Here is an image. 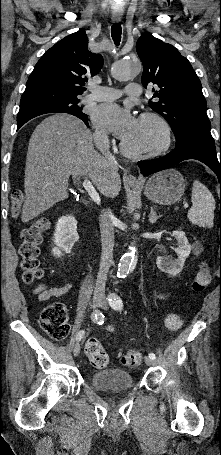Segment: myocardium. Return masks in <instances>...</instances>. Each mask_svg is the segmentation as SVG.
<instances>
[{
  "label": "myocardium",
  "mask_w": 221,
  "mask_h": 455,
  "mask_svg": "<svg viewBox=\"0 0 221 455\" xmlns=\"http://www.w3.org/2000/svg\"><path fill=\"white\" fill-rule=\"evenodd\" d=\"M145 119L153 120L159 126L162 135V141L158 146L147 150H134L130 148L124 141L121 142V152L130 158L144 159L156 157L165 153L171 146L172 131L168 121L161 114L154 111H146L139 116V120Z\"/></svg>",
  "instance_id": "myocardium-1"
}]
</instances>
